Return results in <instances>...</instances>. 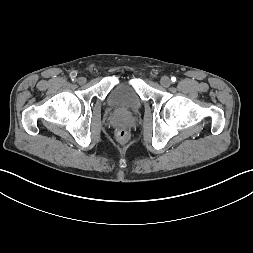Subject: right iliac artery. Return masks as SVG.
I'll use <instances>...</instances> for the list:
<instances>
[{
  "label": "right iliac artery",
  "mask_w": 253,
  "mask_h": 253,
  "mask_svg": "<svg viewBox=\"0 0 253 253\" xmlns=\"http://www.w3.org/2000/svg\"><path fill=\"white\" fill-rule=\"evenodd\" d=\"M72 81L76 80L77 73L70 74Z\"/></svg>",
  "instance_id": "right-iliac-artery-1"
}]
</instances>
